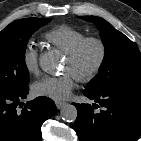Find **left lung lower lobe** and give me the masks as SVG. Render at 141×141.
I'll list each match as a JSON object with an SVG mask.
<instances>
[{
  "label": "left lung lower lobe",
  "mask_w": 141,
  "mask_h": 141,
  "mask_svg": "<svg viewBox=\"0 0 141 141\" xmlns=\"http://www.w3.org/2000/svg\"><path fill=\"white\" fill-rule=\"evenodd\" d=\"M84 95L99 103L75 104V130L80 141H136L141 135V88L112 87L99 93L85 90ZM98 106V105H97Z\"/></svg>",
  "instance_id": "0a47b994"
}]
</instances>
